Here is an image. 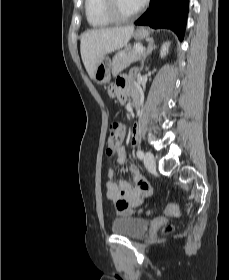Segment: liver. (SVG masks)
Returning a JSON list of instances; mask_svg holds the SVG:
<instances>
[{"label": "liver", "instance_id": "1", "mask_svg": "<svg viewBox=\"0 0 229 280\" xmlns=\"http://www.w3.org/2000/svg\"><path fill=\"white\" fill-rule=\"evenodd\" d=\"M134 27L87 30L82 34L80 53L85 69L93 79L99 61L107 54L123 48L133 35Z\"/></svg>", "mask_w": 229, "mask_h": 280}]
</instances>
